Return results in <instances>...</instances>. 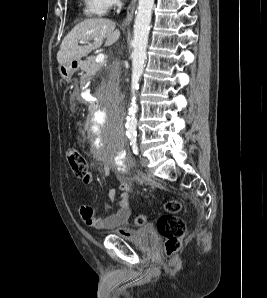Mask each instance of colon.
Returning a JSON list of instances; mask_svg holds the SVG:
<instances>
[{
  "instance_id": "obj_1",
  "label": "colon",
  "mask_w": 267,
  "mask_h": 298,
  "mask_svg": "<svg viewBox=\"0 0 267 298\" xmlns=\"http://www.w3.org/2000/svg\"><path fill=\"white\" fill-rule=\"evenodd\" d=\"M66 159L72 172L82 181L89 176L88 163L84 155L76 148L70 147L66 151ZM165 214L161 215L157 221V228L164 238L165 252L167 255L176 253L185 235L186 225L184 220L178 216L181 210V203L178 200H169L164 204ZM148 217L140 215L135 219L138 226L144 225Z\"/></svg>"
}]
</instances>
